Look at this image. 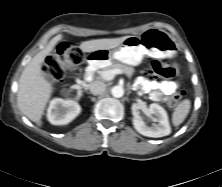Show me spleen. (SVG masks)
<instances>
[{"label": "spleen", "mask_w": 222, "mask_h": 187, "mask_svg": "<svg viewBox=\"0 0 222 187\" xmlns=\"http://www.w3.org/2000/svg\"><path fill=\"white\" fill-rule=\"evenodd\" d=\"M190 108L191 102L188 99L183 100L176 106L172 114V123L174 126H179L184 122L189 114Z\"/></svg>", "instance_id": "1"}]
</instances>
